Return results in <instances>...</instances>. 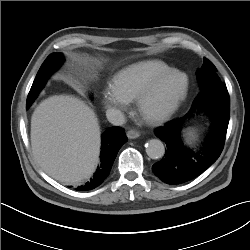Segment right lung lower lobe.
Instances as JSON below:
<instances>
[{
  "instance_id": "obj_1",
  "label": "right lung lower lobe",
  "mask_w": 250,
  "mask_h": 250,
  "mask_svg": "<svg viewBox=\"0 0 250 250\" xmlns=\"http://www.w3.org/2000/svg\"><path fill=\"white\" fill-rule=\"evenodd\" d=\"M127 137L120 127H110L102 134L100 165L90 181L76 188L77 191H87L98 187L109 175L119 149L126 143Z\"/></svg>"
}]
</instances>
